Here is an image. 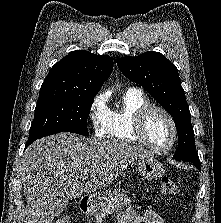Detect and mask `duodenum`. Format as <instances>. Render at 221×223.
<instances>
[{"mask_svg":"<svg viewBox=\"0 0 221 223\" xmlns=\"http://www.w3.org/2000/svg\"><path fill=\"white\" fill-rule=\"evenodd\" d=\"M80 208L83 212H88L90 209V200L88 198L81 199Z\"/></svg>","mask_w":221,"mask_h":223,"instance_id":"410a0bca","label":"duodenum"}]
</instances>
